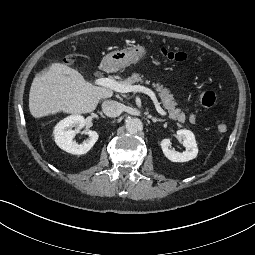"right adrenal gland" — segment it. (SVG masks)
<instances>
[{
  "label": "right adrenal gland",
  "instance_id": "1",
  "mask_svg": "<svg viewBox=\"0 0 255 255\" xmlns=\"http://www.w3.org/2000/svg\"><path fill=\"white\" fill-rule=\"evenodd\" d=\"M100 116H101L102 118H105V116H104L102 113H100Z\"/></svg>",
  "mask_w": 255,
  "mask_h": 255
}]
</instances>
